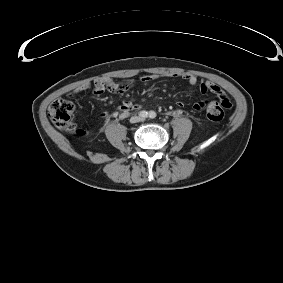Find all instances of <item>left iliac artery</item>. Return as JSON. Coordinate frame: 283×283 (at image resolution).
Here are the masks:
<instances>
[{
	"instance_id": "1",
	"label": "left iliac artery",
	"mask_w": 283,
	"mask_h": 283,
	"mask_svg": "<svg viewBox=\"0 0 283 283\" xmlns=\"http://www.w3.org/2000/svg\"><path fill=\"white\" fill-rule=\"evenodd\" d=\"M149 117H150L151 119H154V118L156 117V113H155L154 111H150V112H149Z\"/></svg>"
}]
</instances>
